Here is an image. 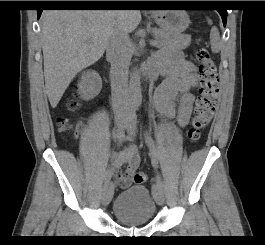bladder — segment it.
Instances as JSON below:
<instances>
[{
    "mask_svg": "<svg viewBox=\"0 0 265 245\" xmlns=\"http://www.w3.org/2000/svg\"><path fill=\"white\" fill-rule=\"evenodd\" d=\"M112 212L122 225L141 226L152 221L156 214V203L146 186L132 184L116 197Z\"/></svg>",
    "mask_w": 265,
    "mask_h": 245,
    "instance_id": "bladder-1",
    "label": "bladder"
}]
</instances>
